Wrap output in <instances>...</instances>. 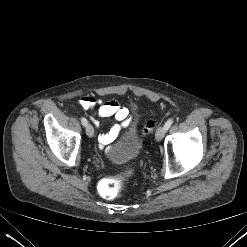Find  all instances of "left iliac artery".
Listing matches in <instances>:
<instances>
[{"label": "left iliac artery", "mask_w": 247, "mask_h": 247, "mask_svg": "<svg viewBox=\"0 0 247 247\" xmlns=\"http://www.w3.org/2000/svg\"><path fill=\"white\" fill-rule=\"evenodd\" d=\"M172 124H173V119L170 118L169 120H167V122L164 125L165 129L168 130Z\"/></svg>", "instance_id": "left-iliac-artery-1"}]
</instances>
